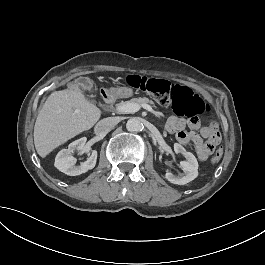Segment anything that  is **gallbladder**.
<instances>
[{
	"instance_id": "obj_1",
	"label": "gallbladder",
	"mask_w": 265,
	"mask_h": 265,
	"mask_svg": "<svg viewBox=\"0 0 265 265\" xmlns=\"http://www.w3.org/2000/svg\"><path fill=\"white\" fill-rule=\"evenodd\" d=\"M78 83L80 86H84L88 92L94 91V84L92 82H90L89 80H85L84 77H79Z\"/></svg>"
}]
</instances>
